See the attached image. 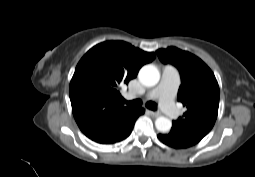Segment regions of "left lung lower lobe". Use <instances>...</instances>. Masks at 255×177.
Returning <instances> with one entry per match:
<instances>
[{"mask_svg": "<svg viewBox=\"0 0 255 177\" xmlns=\"http://www.w3.org/2000/svg\"><path fill=\"white\" fill-rule=\"evenodd\" d=\"M158 138L166 145L179 149L188 148L197 144L201 139L192 136L175 126H172L171 131L166 134H159Z\"/></svg>", "mask_w": 255, "mask_h": 177, "instance_id": "0a47b994", "label": "left lung lower lobe"}]
</instances>
